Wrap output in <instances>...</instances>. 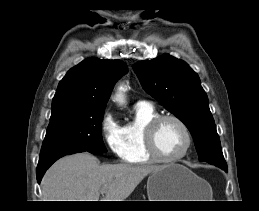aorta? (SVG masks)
Wrapping results in <instances>:
<instances>
[{
    "mask_svg": "<svg viewBox=\"0 0 259 211\" xmlns=\"http://www.w3.org/2000/svg\"><path fill=\"white\" fill-rule=\"evenodd\" d=\"M125 91H126L125 87L121 86L119 87L118 92L115 96L117 102L120 105H123L125 103V95H124Z\"/></svg>",
    "mask_w": 259,
    "mask_h": 211,
    "instance_id": "aorta-1",
    "label": "aorta"
}]
</instances>
